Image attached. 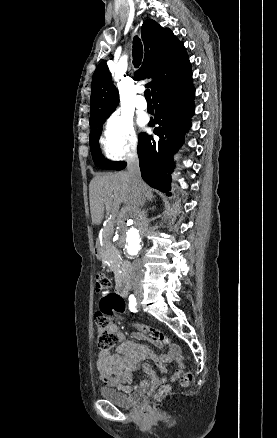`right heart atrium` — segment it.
Listing matches in <instances>:
<instances>
[{"mask_svg": "<svg viewBox=\"0 0 277 438\" xmlns=\"http://www.w3.org/2000/svg\"><path fill=\"white\" fill-rule=\"evenodd\" d=\"M106 142L118 156H128L136 152L138 136L132 119L123 112H115L105 127Z\"/></svg>", "mask_w": 277, "mask_h": 438, "instance_id": "1", "label": "right heart atrium"}]
</instances>
